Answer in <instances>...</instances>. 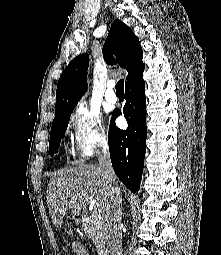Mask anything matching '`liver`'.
I'll return each instance as SVG.
<instances>
[{
  "instance_id": "1",
  "label": "liver",
  "mask_w": 221,
  "mask_h": 255,
  "mask_svg": "<svg viewBox=\"0 0 221 255\" xmlns=\"http://www.w3.org/2000/svg\"><path fill=\"white\" fill-rule=\"evenodd\" d=\"M119 186V182L116 179ZM113 184L108 183L96 164H80L55 172L46 191L47 204L54 226H62L66 212L86 210L94 198L105 210L111 198ZM120 187V186H119Z\"/></svg>"
}]
</instances>
